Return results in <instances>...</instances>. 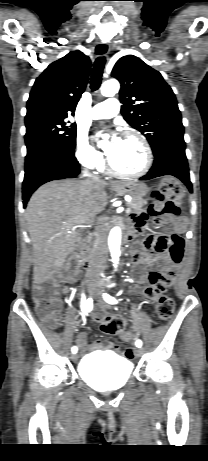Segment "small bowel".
Here are the masks:
<instances>
[{"mask_svg":"<svg viewBox=\"0 0 208 461\" xmlns=\"http://www.w3.org/2000/svg\"><path fill=\"white\" fill-rule=\"evenodd\" d=\"M149 209H137L136 214H129L128 220L132 222L136 233H141L149 216ZM156 224L165 223L164 220L156 219ZM183 229V224L176 222L175 225H157L153 234L148 237H141V242L136 243L133 251L134 276L138 285L137 292L142 299L148 303H153L158 295L171 286L175 280L179 266L184 262V256H188L189 250L185 248L187 239L186 234H178ZM150 250H156L151 251ZM157 258H159L157 260ZM69 263H62V271H68V277L74 280L79 277V256H69ZM158 263V270L147 272L145 265ZM67 292V287L63 288ZM94 319L100 323L101 330L109 335H118L125 342L135 341V335L126 331V320L121 316L108 315L103 311H96ZM86 333L78 334L76 343L82 352L94 350H111L115 354L121 348L113 342L97 340L91 345H87Z\"/></svg>","mask_w":208,"mask_h":461,"instance_id":"small-bowel-1","label":"small bowel"}]
</instances>
